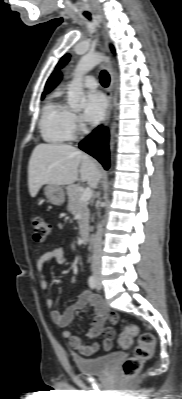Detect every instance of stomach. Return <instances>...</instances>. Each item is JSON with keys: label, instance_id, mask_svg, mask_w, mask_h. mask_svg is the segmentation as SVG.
<instances>
[{"label": "stomach", "instance_id": "1", "mask_svg": "<svg viewBox=\"0 0 182 399\" xmlns=\"http://www.w3.org/2000/svg\"><path fill=\"white\" fill-rule=\"evenodd\" d=\"M44 194L54 205L61 206L65 202V192L60 185L47 184L44 187Z\"/></svg>", "mask_w": 182, "mask_h": 399}]
</instances>
